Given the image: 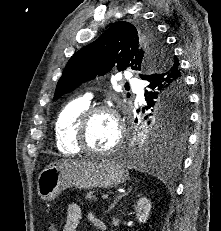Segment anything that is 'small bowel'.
<instances>
[{"label": "small bowel", "mask_w": 221, "mask_h": 231, "mask_svg": "<svg viewBox=\"0 0 221 231\" xmlns=\"http://www.w3.org/2000/svg\"><path fill=\"white\" fill-rule=\"evenodd\" d=\"M81 218V208L77 203H71L67 207L66 211V221L63 226L62 231H77V227L79 225V221ZM89 222L93 228L97 231H105L106 225L105 223L94 216L89 217Z\"/></svg>", "instance_id": "1"}]
</instances>
